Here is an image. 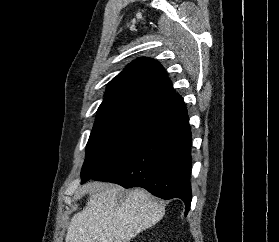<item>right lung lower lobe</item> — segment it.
Returning <instances> with one entry per match:
<instances>
[{
	"label": "right lung lower lobe",
	"mask_w": 279,
	"mask_h": 242,
	"mask_svg": "<svg viewBox=\"0 0 279 242\" xmlns=\"http://www.w3.org/2000/svg\"><path fill=\"white\" fill-rule=\"evenodd\" d=\"M191 130L186 107L160 116L154 133L95 180L125 188L142 187L162 199L180 198L187 215L191 205ZM91 178H82V182Z\"/></svg>",
	"instance_id": "right-lung-lower-lobe-1"
}]
</instances>
